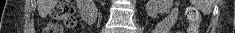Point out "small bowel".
Listing matches in <instances>:
<instances>
[{"mask_svg":"<svg viewBox=\"0 0 235 33\" xmlns=\"http://www.w3.org/2000/svg\"><path fill=\"white\" fill-rule=\"evenodd\" d=\"M178 18V10L174 7L170 13L159 22L152 33H171Z\"/></svg>","mask_w":235,"mask_h":33,"instance_id":"obj_1","label":"small bowel"}]
</instances>
